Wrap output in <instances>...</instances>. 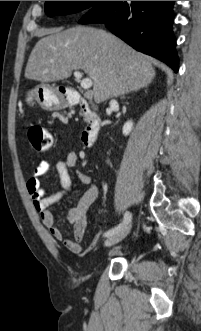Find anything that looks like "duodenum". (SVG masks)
I'll use <instances>...</instances> for the list:
<instances>
[{"label": "duodenum", "mask_w": 201, "mask_h": 331, "mask_svg": "<svg viewBox=\"0 0 201 331\" xmlns=\"http://www.w3.org/2000/svg\"><path fill=\"white\" fill-rule=\"evenodd\" d=\"M59 95L70 104L79 106L83 115L86 117V126L82 131V145L85 148H91L97 139L99 132V120L93 115L90 104L87 99L82 98L78 92L70 89L59 88Z\"/></svg>", "instance_id": "obj_1"}]
</instances>
